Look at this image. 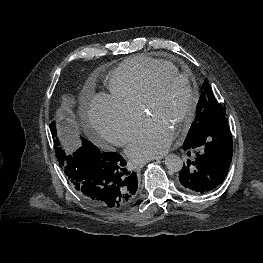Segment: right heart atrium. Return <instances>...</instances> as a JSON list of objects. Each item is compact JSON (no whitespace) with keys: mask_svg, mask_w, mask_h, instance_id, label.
<instances>
[{"mask_svg":"<svg viewBox=\"0 0 263 263\" xmlns=\"http://www.w3.org/2000/svg\"><path fill=\"white\" fill-rule=\"evenodd\" d=\"M88 119L97 138L121 146L129 140L141 119V112L111 94L99 93L88 105Z\"/></svg>","mask_w":263,"mask_h":263,"instance_id":"right-heart-atrium-1","label":"right heart atrium"}]
</instances>
